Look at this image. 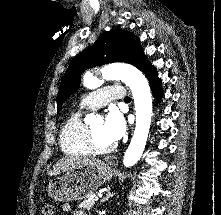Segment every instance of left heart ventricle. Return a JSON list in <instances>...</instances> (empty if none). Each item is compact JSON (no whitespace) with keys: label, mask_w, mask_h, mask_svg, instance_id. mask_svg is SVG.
<instances>
[{"label":"left heart ventricle","mask_w":221,"mask_h":215,"mask_svg":"<svg viewBox=\"0 0 221 215\" xmlns=\"http://www.w3.org/2000/svg\"><path fill=\"white\" fill-rule=\"evenodd\" d=\"M92 131H93V134H94V137H95V140L96 142L100 145V146H108V145H111L112 143L109 142L103 135V131H102V128H103V121L101 120H97L95 122H93L91 125H90Z\"/></svg>","instance_id":"obj_1"}]
</instances>
